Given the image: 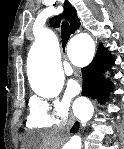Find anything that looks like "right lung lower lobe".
<instances>
[{"label": "right lung lower lobe", "mask_w": 124, "mask_h": 149, "mask_svg": "<svg viewBox=\"0 0 124 149\" xmlns=\"http://www.w3.org/2000/svg\"><path fill=\"white\" fill-rule=\"evenodd\" d=\"M78 128H79V124H78V122H76L70 132L75 133L78 130Z\"/></svg>", "instance_id": "right-lung-lower-lobe-1"}]
</instances>
